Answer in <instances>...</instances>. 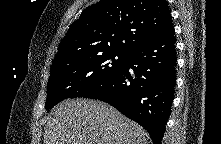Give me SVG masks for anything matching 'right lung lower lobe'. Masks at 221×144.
<instances>
[{
  "instance_id": "1",
  "label": "right lung lower lobe",
  "mask_w": 221,
  "mask_h": 144,
  "mask_svg": "<svg viewBox=\"0 0 221 144\" xmlns=\"http://www.w3.org/2000/svg\"><path fill=\"white\" fill-rule=\"evenodd\" d=\"M173 25L131 50L108 81L80 97L104 101L143 126L161 144L170 115L176 74Z\"/></svg>"
}]
</instances>
